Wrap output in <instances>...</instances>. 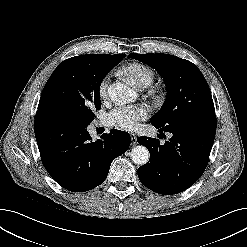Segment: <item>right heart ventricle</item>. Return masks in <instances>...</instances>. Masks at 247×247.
Here are the masks:
<instances>
[{"label": "right heart ventricle", "instance_id": "1", "mask_svg": "<svg viewBox=\"0 0 247 247\" xmlns=\"http://www.w3.org/2000/svg\"><path fill=\"white\" fill-rule=\"evenodd\" d=\"M122 72L138 88L147 86L154 80L153 70L140 63L128 64L123 67Z\"/></svg>", "mask_w": 247, "mask_h": 247}]
</instances>
